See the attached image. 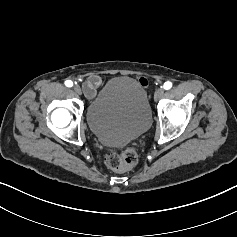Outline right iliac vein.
I'll return each instance as SVG.
<instances>
[{
    "instance_id": "63e3f726",
    "label": "right iliac vein",
    "mask_w": 237,
    "mask_h": 237,
    "mask_svg": "<svg viewBox=\"0 0 237 237\" xmlns=\"http://www.w3.org/2000/svg\"><path fill=\"white\" fill-rule=\"evenodd\" d=\"M73 90H74L75 93L78 94V95H81V94H82L81 88H80L79 86H77V85H75V86L73 87Z\"/></svg>"
}]
</instances>
